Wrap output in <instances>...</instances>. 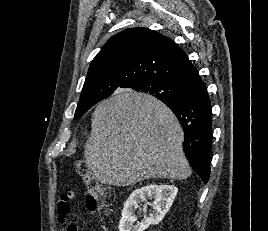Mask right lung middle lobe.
I'll use <instances>...</instances> for the list:
<instances>
[{
  "label": "right lung middle lobe",
  "mask_w": 268,
  "mask_h": 231,
  "mask_svg": "<svg viewBox=\"0 0 268 231\" xmlns=\"http://www.w3.org/2000/svg\"><path fill=\"white\" fill-rule=\"evenodd\" d=\"M137 92H143L155 96L156 98L162 100H179L182 99L187 91L181 88H177L166 83L160 81H144L133 88H131ZM95 104L87 103V102H79L74 119L82 116L90 107Z\"/></svg>",
  "instance_id": "1"
}]
</instances>
